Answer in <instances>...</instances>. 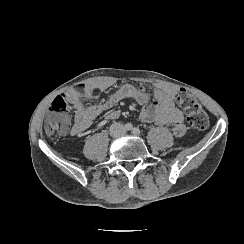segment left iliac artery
I'll return each instance as SVG.
<instances>
[{"instance_id": "1", "label": "left iliac artery", "mask_w": 244, "mask_h": 244, "mask_svg": "<svg viewBox=\"0 0 244 244\" xmlns=\"http://www.w3.org/2000/svg\"><path fill=\"white\" fill-rule=\"evenodd\" d=\"M132 132H133V134H135V135H139V134H140V129L137 128V127H135V128H133Z\"/></svg>"}]
</instances>
